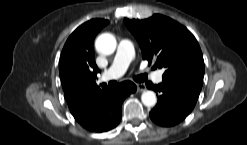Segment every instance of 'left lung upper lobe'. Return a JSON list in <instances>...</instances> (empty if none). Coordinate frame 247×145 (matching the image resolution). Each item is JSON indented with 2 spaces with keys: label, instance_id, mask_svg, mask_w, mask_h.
I'll return each mask as SVG.
<instances>
[{
  "label": "left lung upper lobe",
  "instance_id": "5c2ea615",
  "mask_svg": "<svg viewBox=\"0 0 247 145\" xmlns=\"http://www.w3.org/2000/svg\"><path fill=\"white\" fill-rule=\"evenodd\" d=\"M140 44L143 59L165 68L163 79L180 81L201 90L204 61L195 37L184 26L163 15L144 20L124 19Z\"/></svg>",
  "mask_w": 247,
  "mask_h": 145
}]
</instances>
